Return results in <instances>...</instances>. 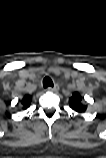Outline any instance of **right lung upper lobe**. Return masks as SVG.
I'll list each match as a JSON object with an SVG mask.
<instances>
[{
	"mask_svg": "<svg viewBox=\"0 0 106 158\" xmlns=\"http://www.w3.org/2000/svg\"><path fill=\"white\" fill-rule=\"evenodd\" d=\"M31 101H32V97L30 95H25L21 101L22 108L24 110L27 109L30 106Z\"/></svg>",
	"mask_w": 106,
	"mask_h": 158,
	"instance_id": "right-lung-upper-lobe-1",
	"label": "right lung upper lobe"
}]
</instances>
